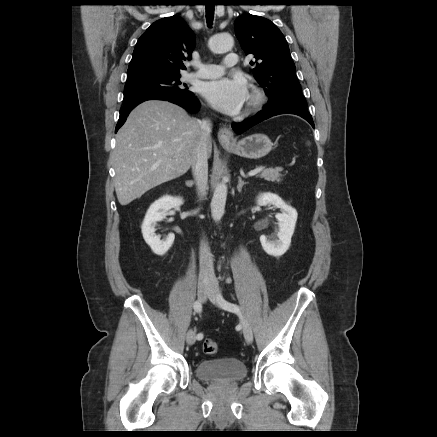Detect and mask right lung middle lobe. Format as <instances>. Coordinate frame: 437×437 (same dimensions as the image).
I'll use <instances>...</instances> for the list:
<instances>
[{
	"mask_svg": "<svg viewBox=\"0 0 437 437\" xmlns=\"http://www.w3.org/2000/svg\"><path fill=\"white\" fill-rule=\"evenodd\" d=\"M124 102L128 103L156 94H193L181 83L180 73H133L127 74Z\"/></svg>",
	"mask_w": 437,
	"mask_h": 437,
	"instance_id": "obj_1",
	"label": "right lung middle lobe"
}]
</instances>
